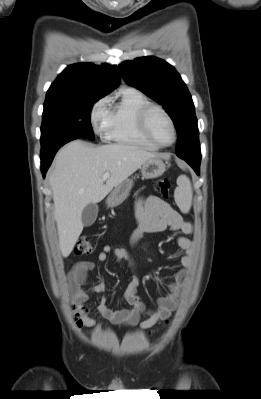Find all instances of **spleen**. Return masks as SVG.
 <instances>
[{"label":"spleen","mask_w":261,"mask_h":399,"mask_svg":"<svg viewBox=\"0 0 261 399\" xmlns=\"http://www.w3.org/2000/svg\"><path fill=\"white\" fill-rule=\"evenodd\" d=\"M178 187L175 189V202L183 213H188L192 205V186L189 178L181 175L177 179Z\"/></svg>","instance_id":"spleen-1"}]
</instances>
